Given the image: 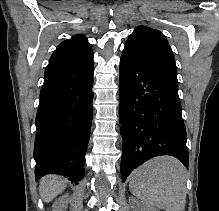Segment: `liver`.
<instances>
[{
	"label": "liver",
	"mask_w": 219,
	"mask_h": 211,
	"mask_svg": "<svg viewBox=\"0 0 219 211\" xmlns=\"http://www.w3.org/2000/svg\"><path fill=\"white\" fill-rule=\"evenodd\" d=\"M68 183L66 177L61 175H45L42 177L39 185V191L44 201H51L58 193H61L65 189Z\"/></svg>",
	"instance_id": "obj_1"
}]
</instances>
